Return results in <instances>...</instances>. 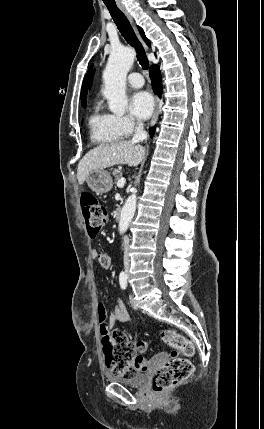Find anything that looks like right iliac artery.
I'll return each instance as SVG.
<instances>
[{"instance_id":"obj_1","label":"right iliac artery","mask_w":264,"mask_h":429,"mask_svg":"<svg viewBox=\"0 0 264 429\" xmlns=\"http://www.w3.org/2000/svg\"><path fill=\"white\" fill-rule=\"evenodd\" d=\"M119 283L122 289H126L127 287V275L125 272H121L119 275Z\"/></svg>"}]
</instances>
